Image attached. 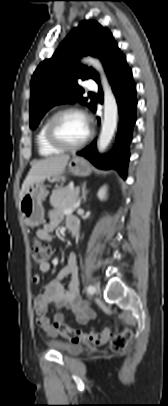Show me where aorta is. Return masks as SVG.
Returning <instances> with one entry per match:
<instances>
[{
	"label": "aorta",
	"mask_w": 168,
	"mask_h": 406,
	"mask_svg": "<svg viewBox=\"0 0 168 406\" xmlns=\"http://www.w3.org/2000/svg\"><path fill=\"white\" fill-rule=\"evenodd\" d=\"M83 62L91 64L99 72L103 86L104 118L98 140V151L102 153L108 147L116 130L118 121V106L101 63L94 58H84Z\"/></svg>",
	"instance_id": "762f6f07"
}]
</instances>
